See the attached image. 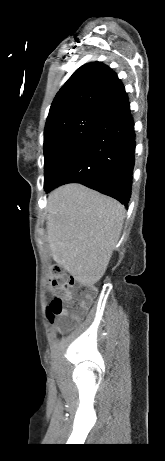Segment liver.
<instances>
[{
    "mask_svg": "<svg viewBox=\"0 0 165 461\" xmlns=\"http://www.w3.org/2000/svg\"><path fill=\"white\" fill-rule=\"evenodd\" d=\"M47 242L55 262L80 283L104 275L125 218L118 201L81 184L61 186L47 199Z\"/></svg>",
    "mask_w": 165,
    "mask_h": 461,
    "instance_id": "obj_1",
    "label": "liver"
}]
</instances>
